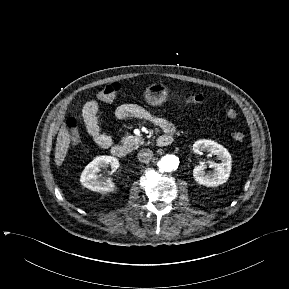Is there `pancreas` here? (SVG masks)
Instances as JSON below:
<instances>
[{"instance_id": "pancreas-1", "label": "pancreas", "mask_w": 289, "mask_h": 289, "mask_svg": "<svg viewBox=\"0 0 289 289\" xmlns=\"http://www.w3.org/2000/svg\"><path fill=\"white\" fill-rule=\"evenodd\" d=\"M121 142L123 143L124 147L128 149V151H131L133 149H137L139 144H143L144 139H142L140 136L128 135L123 137Z\"/></svg>"}]
</instances>
